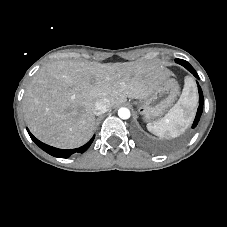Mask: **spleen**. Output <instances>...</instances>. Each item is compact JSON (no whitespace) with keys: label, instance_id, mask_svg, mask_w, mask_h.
<instances>
[{"label":"spleen","instance_id":"3e777b00","mask_svg":"<svg viewBox=\"0 0 227 227\" xmlns=\"http://www.w3.org/2000/svg\"><path fill=\"white\" fill-rule=\"evenodd\" d=\"M193 82L185 81V87L175 106L159 121L149 122L147 129L161 137L171 139L179 136L190 124L193 111L197 105L196 96L191 94Z\"/></svg>","mask_w":227,"mask_h":227}]
</instances>
